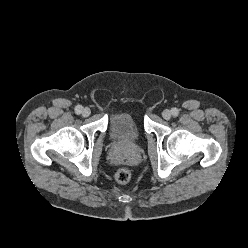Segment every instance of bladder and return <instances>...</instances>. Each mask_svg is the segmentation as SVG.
Segmentation results:
<instances>
[{
  "instance_id": "obj_1",
  "label": "bladder",
  "mask_w": 248,
  "mask_h": 248,
  "mask_svg": "<svg viewBox=\"0 0 248 248\" xmlns=\"http://www.w3.org/2000/svg\"><path fill=\"white\" fill-rule=\"evenodd\" d=\"M108 131L112 141L120 146H133L141 139V131L128 112L113 114L109 120Z\"/></svg>"
}]
</instances>
